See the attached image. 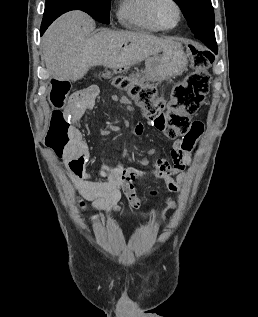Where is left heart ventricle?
<instances>
[{
    "instance_id": "b2bd125f",
    "label": "left heart ventricle",
    "mask_w": 258,
    "mask_h": 317,
    "mask_svg": "<svg viewBox=\"0 0 258 317\" xmlns=\"http://www.w3.org/2000/svg\"><path fill=\"white\" fill-rule=\"evenodd\" d=\"M156 15L162 24L172 25L176 21L177 10L172 2L165 1L158 6Z\"/></svg>"
}]
</instances>
